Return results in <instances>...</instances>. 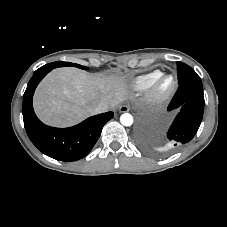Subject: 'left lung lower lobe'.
Segmentation results:
<instances>
[{
	"label": "left lung lower lobe",
	"instance_id": "1",
	"mask_svg": "<svg viewBox=\"0 0 227 227\" xmlns=\"http://www.w3.org/2000/svg\"><path fill=\"white\" fill-rule=\"evenodd\" d=\"M180 109L167 138L173 149L188 143L196 134L203 116L204 96L203 88L189 83L179 85L168 111ZM141 142L142 138H141Z\"/></svg>",
	"mask_w": 227,
	"mask_h": 227
}]
</instances>
